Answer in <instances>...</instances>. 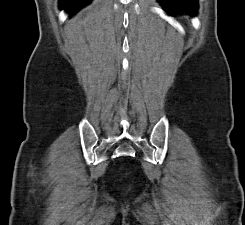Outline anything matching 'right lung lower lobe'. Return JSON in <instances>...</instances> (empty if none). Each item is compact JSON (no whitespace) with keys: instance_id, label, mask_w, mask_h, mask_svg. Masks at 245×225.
<instances>
[{"instance_id":"obj_1","label":"right lung lower lobe","mask_w":245,"mask_h":225,"mask_svg":"<svg viewBox=\"0 0 245 225\" xmlns=\"http://www.w3.org/2000/svg\"><path fill=\"white\" fill-rule=\"evenodd\" d=\"M91 0H60L61 8H65L70 14H74Z\"/></svg>"}]
</instances>
